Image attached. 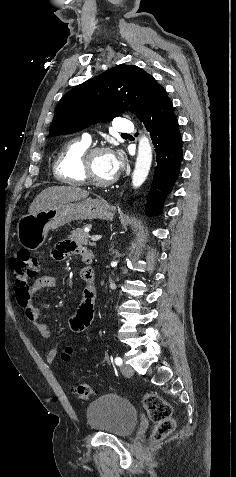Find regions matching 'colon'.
I'll return each mask as SVG.
<instances>
[{"label":"colon","instance_id":"1","mask_svg":"<svg viewBox=\"0 0 236 477\" xmlns=\"http://www.w3.org/2000/svg\"><path fill=\"white\" fill-rule=\"evenodd\" d=\"M11 268L15 281L16 297L31 291L33 288L31 281L40 271L39 260L33 258L28 250L22 249L12 258ZM72 352L73 349L67 347L62 354V358L64 360L69 359ZM72 389L81 399H87L92 394V388L84 382L78 383ZM143 405L151 420L157 424L156 438H164L174 430L175 420L172 417V408L167 401L157 394L149 393L144 396Z\"/></svg>","mask_w":236,"mask_h":477}]
</instances>
